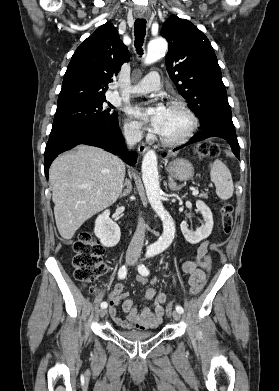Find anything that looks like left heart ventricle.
I'll list each match as a JSON object with an SVG mask.
<instances>
[{"mask_svg":"<svg viewBox=\"0 0 279 391\" xmlns=\"http://www.w3.org/2000/svg\"><path fill=\"white\" fill-rule=\"evenodd\" d=\"M190 126L188 116L179 108H167V114L159 132L168 139L180 138Z\"/></svg>","mask_w":279,"mask_h":391,"instance_id":"b2bd125f","label":"left heart ventricle"}]
</instances>
